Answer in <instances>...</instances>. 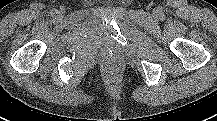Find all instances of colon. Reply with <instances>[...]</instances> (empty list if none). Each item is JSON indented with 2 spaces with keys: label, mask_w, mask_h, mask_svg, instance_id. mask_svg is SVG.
I'll list each match as a JSON object with an SVG mask.
<instances>
[{
  "label": "colon",
  "mask_w": 217,
  "mask_h": 121,
  "mask_svg": "<svg viewBox=\"0 0 217 121\" xmlns=\"http://www.w3.org/2000/svg\"><path fill=\"white\" fill-rule=\"evenodd\" d=\"M116 70H117V67H116L115 65H109V66L106 68V71H107V73H109V74H113Z\"/></svg>",
  "instance_id": "obj_1"
}]
</instances>
